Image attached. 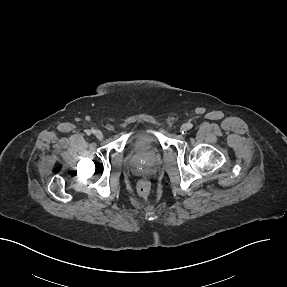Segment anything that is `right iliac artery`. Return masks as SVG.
Here are the masks:
<instances>
[{"mask_svg":"<svg viewBox=\"0 0 287 287\" xmlns=\"http://www.w3.org/2000/svg\"><path fill=\"white\" fill-rule=\"evenodd\" d=\"M86 133H87V135H90V134H92V133H95V130H94V129H92V130H87Z\"/></svg>","mask_w":287,"mask_h":287,"instance_id":"right-iliac-artery-1","label":"right iliac artery"}]
</instances>
